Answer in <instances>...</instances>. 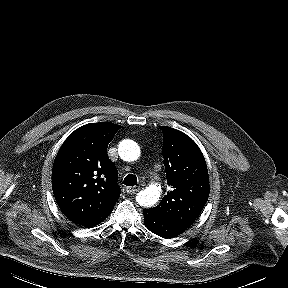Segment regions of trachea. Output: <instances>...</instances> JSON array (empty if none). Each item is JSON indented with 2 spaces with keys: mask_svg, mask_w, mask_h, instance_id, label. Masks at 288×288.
<instances>
[{
  "mask_svg": "<svg viewBox=\"0 0 288 288\" xmlns=\"http://www.w3.org/2000/svg\"><path fill=\"white\" fill-rule=\"evenodd\" d=\"M126 186H134L137 185V177L133 174H128L123 181Z\"/></svg>",
  "mask_w": 288,
  "mask_h": 288,
  "instance_id": "obj_1",
  "label": "trachea"
}]
</instances>
